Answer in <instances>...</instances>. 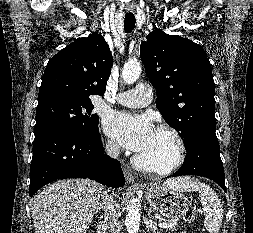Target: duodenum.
<instances>
[{"label": "duodenum", "instance_id": "1", "mask_svg": "<svg viewBox=\"0 0 253 233\" xmlns=\"http://www.w3.org/2000/svg\"><path fill=\"white\" fill-rule=\"evenodd\" d=\"M105 228H104V226H101V231H103Z\"/></svg>", "mask_w": 253, "mask_h": 233}]
</instances>
